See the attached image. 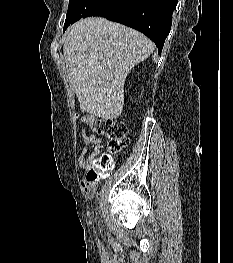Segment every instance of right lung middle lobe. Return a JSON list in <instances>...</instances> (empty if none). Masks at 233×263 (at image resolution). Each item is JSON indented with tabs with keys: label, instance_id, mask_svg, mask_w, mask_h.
Masks as SVG:
<instances>
[{
	"label": "right lung middle lobe",
	"instance_id": "dd1d6c3e",
	"mask_svg": "<svg viewBox=\"0 0 233 263\" xmlns=\"http://www.w3.org/2000/svg\"><path fill=\"white\" fill-rule=\"evenodd\" d=\"M121 2L122 0H70L64 31L70 24L81 18L109 15Z\"/></svg>",
	"mask_w": 233,
	"mask_h": 263
}]
</instances>
